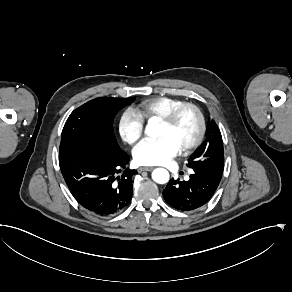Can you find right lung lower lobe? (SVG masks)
<instances>
[{"mask_svg":"<svg viewBox=\"0 0 292 292\" xmlns=\"http://www.w3.org/2000/svg\"><path fill=\"white\" fill-rule=\"evenodd\" d=\"M129 159L123 150L115 154L86 148L59 152L61 173L70 192L81 206L99 216L115 214L131 202L132 177L137 171L126 167Z\"/></svg>","mask_w":292,"mask_h":292,"instance_id":"right-lung-lower-lobe-1","label":"right lung lower lobe"}]
</instances>
